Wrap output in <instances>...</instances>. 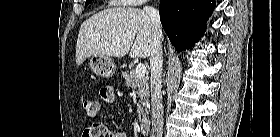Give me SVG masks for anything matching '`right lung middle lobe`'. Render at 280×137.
Returning <instances> with one entry per match:
<instances>
[{"mask_svg":"<svg viewBox=\"0 0 280 137\" xmlns=\"http://www.w3.org/2000/svg\"><path fill=\"white\" fill-rule=\"evenodd\" d=\"M92 2V0H86L85 6H87L88 4H90Z\"/></svg>","mask_w":280,"mask_h":137,"instance_id":"1","label":"right lung middle lobe"}]
</instances>
